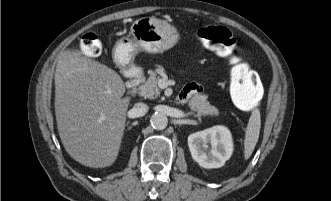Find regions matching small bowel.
I'll return each mask as SVG.
<instances>
[{
  "instance_id": "c3829d8e",
  "label": "small bowel",
  "mask_w": 331,
  "mask_h": 201,
  "mask_svg": "<svg viewBox=\"0 0 331 201\" xmlns=\"http://www.w3.org/2000/svg\"><path fill=\"white\" fill-rule=\"evenodd\" d=\"M200 91L201 88L197 84L195 83L188 84L178 95V101L181 103L186 102L188 99L198 94Z\"/></svg>"
}]
</instances>
